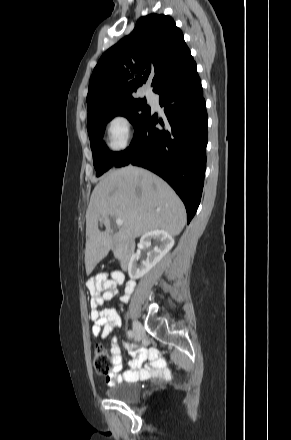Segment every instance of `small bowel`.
I'll return each mask as SVG.
<instances>
[{
	"label": "small bowel",
	"instance_id": "c3829d8e",
	"mask_svg": "<svg viewBox=\"0 0 291 440\" xmlns=\"http://www.w3.org/2000/svg\"><path fill=\"white\" fill-rule=\"evenodd\" d=\"M123 283L125 284L124 293L120 299L122 302H128L134 291L135 282H125L120 272H113L110 277L101 274L87 281L86 285L91 295L90 318L93 321L91 329L93 336L105 339L114 329L120 328L121 320L116 312L110 308L100 309V306L110 301L116 293L117 286ZM124 345L130 348L128 342H124ZM109 359L111 367L106 375V382L110 386L134 381L139 377H165L169 375L165 361L156 356L155 350L150 352L143 350L124 365L118 340L115 337L111 340ZM146 359H148V363L142 368Z\"/></svg>",
	"mask_w": 291,
	"mask_h": 440
}]
</instances>
